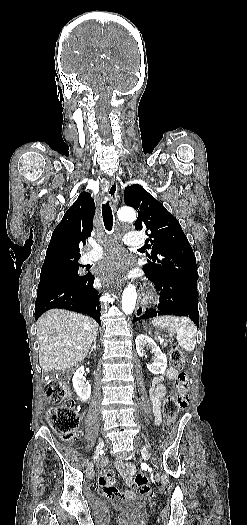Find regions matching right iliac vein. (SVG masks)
<instances>
[{
    "mask_svg": "<svg viewBox=\"0 0 247 525\" xmlns=\"http://www.w3.org/2000/svg\"><path fill=\"white\" fill-rule=\"evenodd\" d=\"M103 448H104V441L102 440V441H100L98 443V445L96 447V450H95V453H94V457H93L94 462L97 463V464L100 463V458L99 457H100V454H101Z\"/></svg>",
    "mask_w": 247,
    "mask_h": 525,
    "instance_id": "1",
    "label": "right iliac vein"
}]
</instances>
